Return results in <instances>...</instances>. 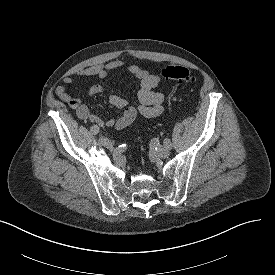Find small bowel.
<instances>
[{"label":"small bowel","instance_id":"1","mask_svg":"<svg viewBox=\"0 0 275 275\" xmlns=\"http://www.w3.org/2000/svg\"><path fill=\"white\" fill-rule=\"evenodd\" d=\"M125 66V62L121 59H114L107 63L93 65L87 68L79 69L75 72L78 77H97L105 79L113 71ZM128 72L139 81L138 89V105L130 106L126 98L120 94L111 91L109 95V103L122 111V115L116 119H104L96 115L91 107L84 104L69 94L66 85L76 83V79L71 76L63 78L64 85L57 86L55 93L60 100L67 103L70 108L76 111L78 118L101 128L114 127L122 130L132 125L139 116L152 118L160 115L164 108V102L168 96L167 91H155L154 89L161 83V77L152 74L138 65H130L127 67ZM107 90L102 83L92 85L88 90L89 96L101 94Z\"/></svg>","mask_w":275,"mask_h":275}]
</instances>
